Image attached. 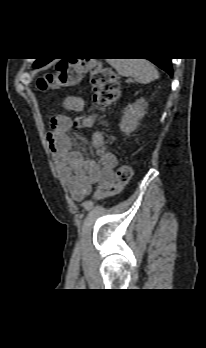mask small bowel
I'll return each instance as SVG.
<instances>
[{
  "mask_svg": "<svg viewBox=\"0 0 206 348\" xmlns=\"http://www.w3.org/2000/svg\"><path fill=\"white\" fill-rule=\"evenodd\" d=\"M63 105L69 111L80 112L84 109V100L68 96L64 99ZM95 120L94 116L86 117L81 123V128H91ZM49 127L47 142L53 152L60 178L75 201H82L89 194L93 184L102 186L115 183L117 158L106 150L101 132L96 131L91 137V145L99 158V162L96 163L85 159L80 151L73 149L69 135L71 130L69 117L54 115L50 119Z\"/></svg>",
  "mask_w": 206,
  "mask_h": 348,
  "instance_id": "c3829d8e",
  "label": "small bowel"
}]
</instances>
